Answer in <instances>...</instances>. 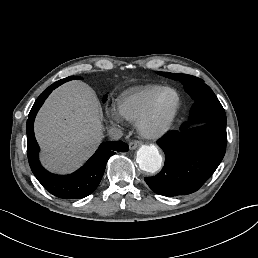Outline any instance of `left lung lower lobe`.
<instances>
[{
    "instance_id": "0a47b994",
    "label": "left lung lower lobe",
    "mask_w": 258,
    "mask_h": 258,
    "mask_svg": "<svg viewBox=\"0 0 258 258\" xmlns=\"http://www.w3.org/2000/svg\"><path fill=\"white\" fill-rule=\"evenodd\" d=\"M227 144L226 126L212 122L196 123L170 131L158 141L165 153L163 169L145 177L157 194L173 197L197 191L222 161Z\"/></svg>"
}]
</instances>
